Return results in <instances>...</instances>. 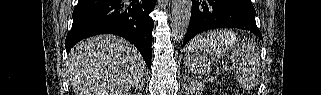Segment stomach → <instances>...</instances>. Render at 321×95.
<instances>
[{
    "label": "stomach",
    "instance_id": "obj_1",
    "mask_svg": "<svg viewBox=\"0 0 321 95\" xmlns=\"http://www.w3.org/2000/svg\"><path fill=\"white\" fill-rule=\"evenodd\" d=\"M238 45V38L235 34L230 33L224 40L206 43L203 42L195 46L193 41L188 46V54L206 53V54H226Z\"/></svg>",
    "mask_w": 321,
    "mask_h": 95
}]
</instances>
